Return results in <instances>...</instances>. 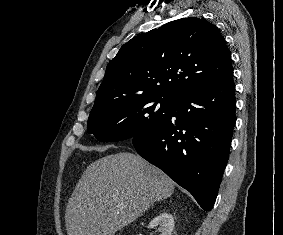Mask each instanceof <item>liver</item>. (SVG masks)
<instances>
[{
  "mask_svg": "<svg viewBox=\"0 0 283 235\" xmlns=\"http://www.w3.org/2000/svg\"><path fill=\"white\" fill-rule=\"evenodd\" d=\"M174 182L129 152L102 157L83 172L65 214L67 235H115L154 202L170 197Z\"/></svg>",
  "mask_w": 283,
  "mask_h": 235,
  "instance_id": "6515ba94",
  "label": "liver"
}]
</instances>
